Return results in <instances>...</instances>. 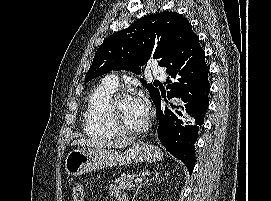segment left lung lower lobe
Instances as JSON below:
<instances>
[{
  "mask_svg": "<svg viewBox=\"0 0 271 201\" xmlns=\"http://www.w3.org/2000/svg\"><path fill=\"white\" fill-rule=\"evenodd\" d=\"M166 68L170 77L176 79L174 82L167 81V88L170 89L168 98H180L184 105L181 106V112L176 110L177 114L167 107L163 110L160 94H155L153 101L159 120L158 136L164 147L186 165L191 175L195 165L194 144L199 126L204 123L210 90L209 69L199 38L194 37L179 43Z\"/></svg>",
  "mask_w": 271,
  "mask_h": 201,
  "instance_id": "1",
  "label": "left lung lower lobe"
}]
</instances>
